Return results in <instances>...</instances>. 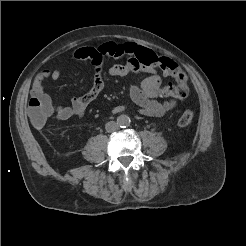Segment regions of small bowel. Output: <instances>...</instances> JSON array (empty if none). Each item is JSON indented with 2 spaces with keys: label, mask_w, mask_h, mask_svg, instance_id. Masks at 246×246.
<instances>
[{
  "label": "small bowel",
  "mask_w": 246,
  "mask_h": 246,
  "mask_svg": "<svg viewBox=\"0 0 246 246\" xmlns=\"http://www.w3.org/2000/svg\"><path fill=\"white\" fill-rule=\"evenodd\" d=\"M136 49L134 43L117 44L107 42L97 47H80L76 49L72 57L75 60L90 61L95 69V77L91 88L87 93L71 100L70 105L64 106L54 103L51 97L44 89V83L48 79L59 80L62 71L60 69H42L35 77L31 94L46 100L51 107L50 118L55 120H67L72 116H84L88 106L98 97L104 89L105 83L102 76V64L105 58L120 59L125 58L124 63L114 64L108 69V75L112 77L125 76L130 73H147L139 85H133L130 88L129 95L132 102L139 108V111L147 116L163 117L176 104L178 98L170 97L167 100H161L163 94L162 77L156 68H146L137 64L133 59V53ZM125 105H117L111 109L112 113H119L126 110Z\"/></svg>",
  "instance_id": "small-bowel-1"
}]
</instances>
